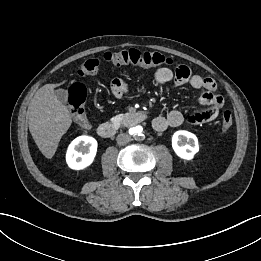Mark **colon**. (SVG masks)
Instances as JSON below:
<instances>
[{
	"label": "colon",
	"mask_w": 261,
	"mask_h": 261,
	"mask_svg": "<svg viewBox=\"0 0 261 261\" xmlns=\"http://www.w3.org/2000/svg\"><path fill=\"white\" fill-rule=\"evenodd\" d=\"M102 61L114 65H135L140 67H151L162 64H172L171 58L158 52L139 51L136 49L121 50L115 52H106L94 58L83 61L78 67L80 76H89L95 74ZM86 88L81 83L72 84L67 93V104L71 109L76 124L86 129L89 121L85 112ZM233 124V116L229 110L222 114V133H227Z\"/></svg>",
	"instance_id": "obj_1"
}]
</instances>
